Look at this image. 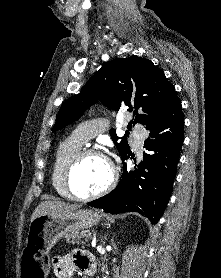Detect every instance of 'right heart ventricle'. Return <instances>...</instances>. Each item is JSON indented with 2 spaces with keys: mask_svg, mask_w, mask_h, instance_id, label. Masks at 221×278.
<instances>
[{
  "mask_svg": "<svg viewBox=\"0 0 221 278\" xmlns=\"http://www.w3.org/2000/svg\"><path fill=\"white\" fill-rule=\"evenodd\" d=\"M83 144L73 136H70L61 142L57 148L52 167L51 182L56 193L63 198L70 199L64 186L65 167L71 157L82 149Z\"/></svg>",
  "mask_w": 221,
  "mask_h": 278,
  "instance_id": "e07e8e85",
  "label": "right heart ventricle"
}]
</instances>
